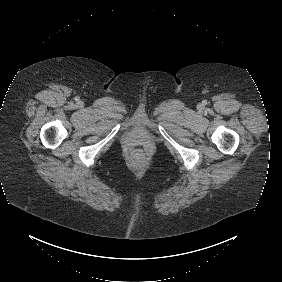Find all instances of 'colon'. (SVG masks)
I'll list each match as a JSON object with an SVG mask.
<instances>
[{
    "label": "colon",
    "mask_w": 282,
    "mask_h": 282,
    "mask_svg": "<svg viewBox=\"0 0 282 282\" xmlns=\"http://www.w3.org/2000/svg\"><path fill=\"white\" fill-rule=\"evenodd\" d=\"M130 161L136 167H143L149 161V154L143 148H136L130 154Z\"/></svg>",
    "instance_id": "obj_1"
}]
</instances>
